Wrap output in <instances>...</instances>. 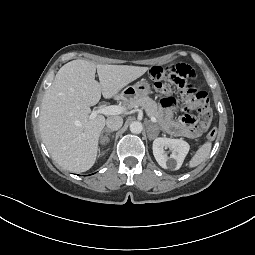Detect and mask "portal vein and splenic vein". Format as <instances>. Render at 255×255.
Instances as JSON below:
<instances>
[{
  "label": "portal vein and splenic vein",
  "mask_w": 255,
  "mask_h": 255,
  "mask_svg": "<svg viewBox=\"0 0 255 255\" xmlns=\"http://www.w3.org/2000/svg\"><path fill=\"white\" fill-rule=\"evenodd\" d=\"M125 112H126L125 106H121V105L103 106V107H100L98 110H93L91 112L90 118L93 119L98 114H103V115L108 116V115H119V114H123ZM150 119L153 123L157 122V120L154 116H151Z\"/></svg>",
  "instance_id": "1"
}]
</instances>
